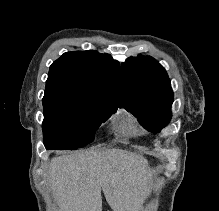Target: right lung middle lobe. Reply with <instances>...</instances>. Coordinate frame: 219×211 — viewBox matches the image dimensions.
Instances as JSON below:
<instances>
[{
    "label": "right lung middle lobe",
    "instance_id": "obj_1",
    "mask_svg": "<svg viewBox=\"0 0 219 211\" xmlns=\"http://www.w3.org/2000/svg\"><path fill=\"white\" fill-rule=\"evenodd\" d=\"M120 105L44 97L43 139L46 149L75 150L94 140L95 131Z\"/></svg>",
    "mask_w": 219,
    "mask_h": 211
}]
</instances>
